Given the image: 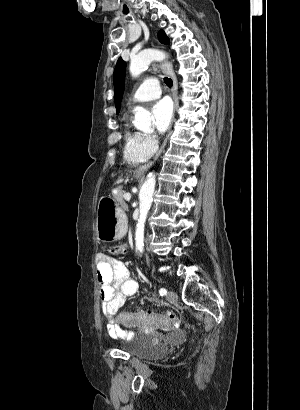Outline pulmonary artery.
I'll return each instance as SVG.
<instances>
[{
    "label": "pulmonary artery",
    "instance_id": "obj_1",
    "mask_svg": "<svg viewBox=\"0 0 300 410\" xmlns=\"http://www.w3.org/2000/svg\"><path fill=\"white\" fill-rule=\"evenodd\" d=\"M161 95V89L158 80L150 76L146 78L139 88L132 95L133 103H142L145 101L153 100Z\"/></svg>",
    "mask_w": 300,
    "mask_h": 410
}]
</instances>
